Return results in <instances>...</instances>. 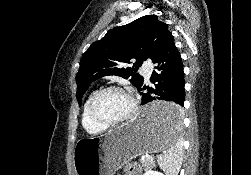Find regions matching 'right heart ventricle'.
<instances>
[{
  "label": "right heart ventricle",
  "mask_w": 251,
  "mask_h": 175,
  "mask_svg": "<svg viewBox=\"0 0 251 175\" xmlns=\"http://www.w3.org/2000/svg\"><path fill=\"white\" fill-rule=\"evenodd\" d=\"M97 91L98 90H94L88 95L82 109V126L84 130L91 135H99L106 130L104 126L94 122L89 114L90 102Z\"/></svg>",
  "instance_id": "right-heart-ventricle-1"
}]
</instances>
